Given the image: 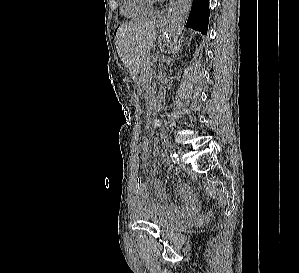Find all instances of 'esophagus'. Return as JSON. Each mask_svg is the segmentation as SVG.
I'll return each instance as SVG.
<instances>
[{
	"label": "esophagus",
	"mask_w": 299,
	"mask_h": 273,
	"mask_svg": "<svg viewBox=\"0 0 299 273\" xmlns=\"http://www.w3.org/2000/svg\"><path fill=\"white\" fill-rule=\"evenodd\" d=\"M166 21H167V14L160 16L158 19V23L160 24L166 23Z\"/></svg>",
	"instance_id": "esophagus-1"
}]
</instances>
